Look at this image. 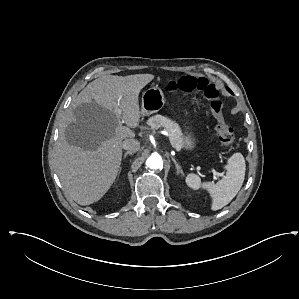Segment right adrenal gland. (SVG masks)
<instances>
[{
  "mask_svg": "<svg viewBox=\"0 0 299 299\" xmlns=\"http://www.w3.org/2000/svg\"><path fill=\"white\" fill-rule=\"evenodd\" d=\"M132 154H133L132 152L127 151V152L124 154L123 159H125V158L127 157V155H132Z\"/></svg>",
  "mask_w": 299,
  "mask_h": 299,
  "instance_id": "2a0ac1e0",
  "label": "right adrenal gland"
}]
</instances>
